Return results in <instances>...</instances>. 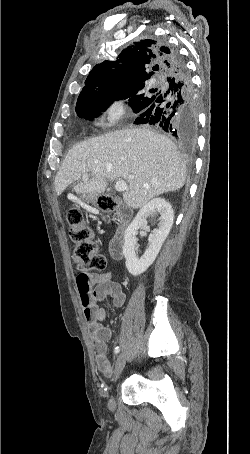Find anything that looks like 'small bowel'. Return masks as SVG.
<instances>
[{
  "label": "small bowel",
  "instance_id": "c3829d8e",
  "mask_svg": "<svg viewBox=\"0 0 250 454\" xmlns=\"http://www.w3.org/2000/svg\"><path fill=\"white\" fill-rule=\"evenodd\" d=\"M76 286L95 348L96 366L104 376L110 377L116 369V364L113 365L108 358L107 342L111 339L112 332L101 323L106 319V311L97 307L94 301H102L109 296L113 299L114 306L120 308L124 305L126 296L121 285L111 279L110 273H78ZM92 286H95L93 290Z\"/></svg>",
  "mask_w": 250,
  "mask_h": 454
}]
</instances>
